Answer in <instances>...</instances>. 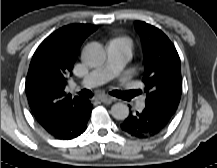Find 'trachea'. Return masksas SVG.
Here are the masks:
<instances>
[{
	"label": "trachea",
	"instance_id": "1",
	"mask_svg": "<svg viewBox=\"0 0 217 168\" xmlns=\"http://www.w3.org/2000/svg\"><path fill=\"white\" fill-rule=\"evenodd\" d=\"M78 94L82 98H91L93 96V93L90 90H88V89H83ZM110 94L113 95V96L122 98V96H123L124 93L123 92H119V91L116 90V91L110 92Z\"/></svg>",
	"mask_w": 217,
	"mask_h": 168
}]
</instances>
